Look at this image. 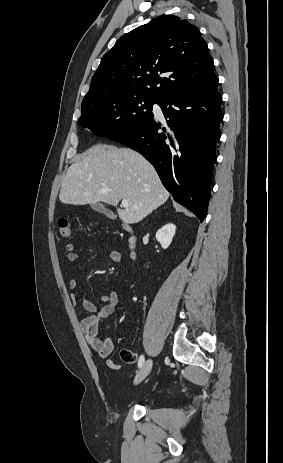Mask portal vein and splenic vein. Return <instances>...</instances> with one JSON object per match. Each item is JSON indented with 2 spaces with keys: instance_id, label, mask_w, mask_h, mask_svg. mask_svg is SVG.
I'll return each mask as SVG.
<instances>
[{
  "instance_id": "18ae733b",
  "label": "portal vein and splenic vein",
  "mask_w": 283,
  "mask_h": 463,
  "mask_svg": "<svg viewBox=\"0 0 283 463\" xmlns=\"http://www.w3.org/2000/svg\"><path fill=\"white\" fill-rule=\"evenodd\" d=\"M122 206L123 207H128L129 206V203L127 200H122Z\"/></svg>"
}]
</instances>
